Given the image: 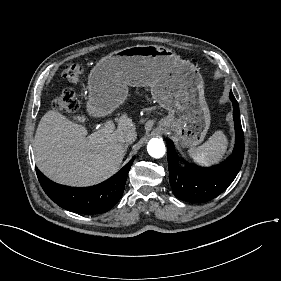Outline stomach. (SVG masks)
<instances>
[{
    "instance_id": "0dacf381",
    "label": "stomach",
    "mask_w": 281,
    "mask_h": 281,
    "mask_svg": "<svg viewBox=\"0 0 281 281\" xmlns=\"http://www.w3.org/2000/svg\"><path fill=\"white\" fill-rule=\"evenodd\" d=\"M128 86L151 88L152 98L168 115L160 121L183 146L200 144L210 127L199 69L173 50L157 45H136L101 58L88 76L87 110L96 117L122 104Z\"/></svg>"
}]
</instances>
